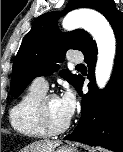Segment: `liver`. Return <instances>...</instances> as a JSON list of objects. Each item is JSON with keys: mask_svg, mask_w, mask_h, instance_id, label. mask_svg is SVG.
Segmentation results:
<instances>
[{"mask_svg": "<svg viewBox=\"0 0 123 152\" xmlns=\"http://www.w3.org/2000/svg\"><path fill=\"white\" fill-rule=\"evenodd\" d=\"M59 145L60 141L42 140L28 145L21 152H53Z\"/></svg>", "mask_w": 123, "mask_h": 152, "instance_id": "1", "label": "liver"}]
</instances>
